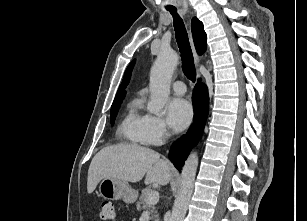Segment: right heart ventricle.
Listing matches in <instances>:
<instances>
[{
  "instance_id": "right-heart-ventricle-1",
  "label": "right heart ventricle",
  "mask_w": 307,
  "mask_h": 221,
  "mask_svg": "<svg viewBox=\"0 0 307 221\" xmlns=\"http://www.w3.org/2000/svg\"><path fill=\"white\" fill-rule=\"evenodd\" d=\"M141 101L139 99L132 100L128 105V110L121 121L117 133L118 136L129 143L135 145L149 144L146 132V118L140 112Z\"/></svg>"
}]
</instances>
